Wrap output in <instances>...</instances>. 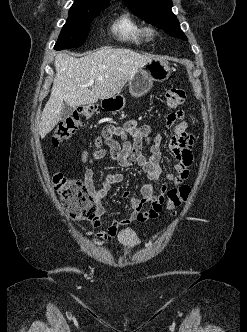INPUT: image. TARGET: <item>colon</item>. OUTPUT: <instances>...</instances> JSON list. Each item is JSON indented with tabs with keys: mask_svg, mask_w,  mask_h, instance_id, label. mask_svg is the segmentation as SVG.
Listing matches in <instances>:
<instances>
[{
	"mask_svg": "<svg viewBox=\"0 0 247 332\" xmlns=\"http://www.w3.org/2000/svg\"><path fill=\"white\" fill-rule=\"evenodd\" d=\"M186 100V93L181 88H169L165 92L166 106L174 110ZM94 113V107L86 105L61 121L52 134V143L58 146L75 134ZM53 184L60 199L65 204L69 215L76 220L94 219L96 205L89 195L85 185L79 179L70 178L62 173L53 175ZM190 194V187L182 185L169 189L166 195V208L174 213L175 209L184 203Z\"/></svg>",
	"mask_w": 247,
	"mask_h": 332,
	"instance_id": "colon-1",
	"label": "colon"
}]
</instances>
